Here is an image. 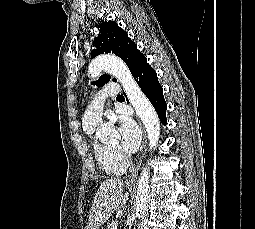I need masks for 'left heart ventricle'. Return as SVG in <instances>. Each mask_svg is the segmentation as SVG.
<instances>
[{"instance_id": "obj_1", "label": "left heart ventricle", "mask_w": 255, "mask_h": 229, "mask_svg": "<svg viewBox=\"0 0 255 229\" xmlns=\"http://www.w3.org/2000/svg\"><path fill=\"white\" fill-rule=\"evenodd\" d=\"M111 148H119L118 140H114L112 143L109 144Z\"/></svg>"}]
</instances>
